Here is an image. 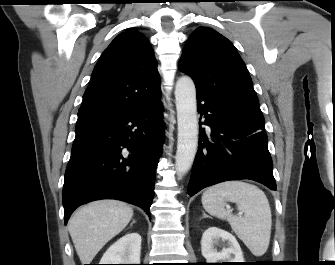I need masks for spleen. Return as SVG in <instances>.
Wrapping results in <instances>:
<instances>
[{
	"mask_svg": "<svg viewBox=\"0 0 335 265\" xmlns=\"http://www.w3.org/2000/svg\"><path fill=\"white\" fill-rule=\"evenodd\" d=\"M201 200L209 214L229 222L253 255L265 254L270 242L272 215L268 199L260 188L243 181H227L208 188ZM224 201L236 203L244 216L230 215Z\"/></svg>",
	"mask_w": 335,
	"mask_h": 265,
	"instance_id": "1",
	"label": "spleen"
}]
</instances>
